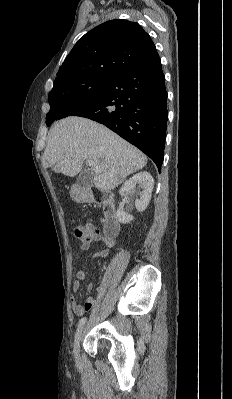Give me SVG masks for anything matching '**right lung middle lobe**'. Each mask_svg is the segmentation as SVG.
I'll return each mask as SVG.
<instances>
[{
  "instance_id": "right-lung-middle-lobe-1",
  "label": "right lung middle lobe",
  "mask_w": 232,
  "mask_h": 399,
  "mask_svg": "<svg viewBox=\"0 0 232 399\" xmlns=\"http://www.w3.org/2000/svg\"><path fill=\"white\" fill-rule=\"evenodd\" d=\"M109 78L86 79L68 87L64 92L48 96L50 111L46 124L50 126L70 105L89 101L96 97L109 83Z\"/></svg>"
}]
</instances>
